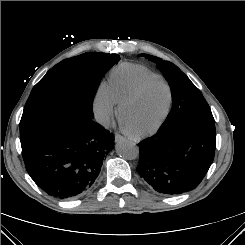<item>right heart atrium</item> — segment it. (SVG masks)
I'll return each instance as SVG.
<instances>
[{"label": "right heart atrium", "mask_w": 245, "mask_h": 245, "mask_svg": "<svg viewBox=\"0 0 245 245\" xmlns=\"http://www.w3.org/2000/svg\"><path fill=\"white\" fill-rule=\"evenodd\" d=\"M93 110L97 120L102 125H109L118 113L117 102L114 99L109 85L101 83L93 100Z\"/></svg>", "instance_id": "1"}]
</instances>
